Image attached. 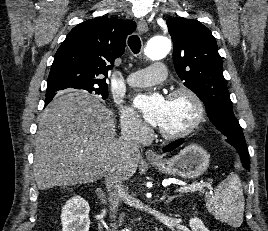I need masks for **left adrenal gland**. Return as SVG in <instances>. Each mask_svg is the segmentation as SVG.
Listing matches in <instances>:
<instances>
[{"label": "left adrenal gland", "instance_id": "a2214340", "mask_svg": "<svg viewBox=\"0 0 268 231\" xmlns=\"http://www.w3.org/2000/svg\"><path fill=\"white\" fill-rule=\"evenodd\" d=\"M174 198H177V195L176 196H168L167 200L166 199V194L164 193V196L162 197V200H165V203L168 204L170 203Z\"/></svg>", "mask_w": 268, "mask_h": 231}]
</instances>
